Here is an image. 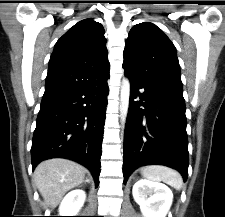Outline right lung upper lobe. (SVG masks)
<instances>
[{
  "label": "right lung upper lobe",
  "mask_w": 225,
  "mask_h": 217,
  "mask_svg": "<svg viewBox=\"0 0 225 217\" xmlns=\"http://www.w3.org/2000/svg\"><path fill=\"white\" fill-rule=\"evenodd\" d=\"M109 69L104 28L84 19L55 44L43 96L96 85L109 78Z\"/></svg>",
  "instance_id": "obj_1"
}]
</instances>
